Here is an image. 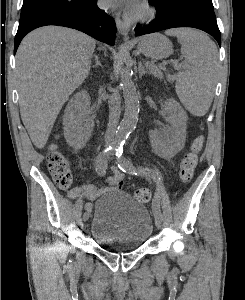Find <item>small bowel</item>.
<instances>
[{
  "label": "small bowel",
  "instance_id": "obj_1",
  "mask_svg": "<svg viewBox=\"0 0 245 300\" xmlns=\"http://www.w3.org/2000/svg\"><path fill=\"white\" fill-rule=\"evenodd\" d=\"M124 175L117 169L112 168V175L109 176L105 184L87 185L71 189L67 196L76 199L85 195L89 200H95L105 192L118 190L123 186Z\"/></svg>",
  "mask_w": 245,
  "mask_h": 300
}]
</instances>
